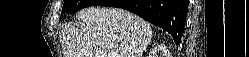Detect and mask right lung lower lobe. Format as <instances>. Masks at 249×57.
Returning a JSON list of instances; mask_svg holds the SVG:
<instances>
[{"label":"right lung lower lobe","instance_id":"98d812e1","mask_svg":"<svg viewBox=\"0 0 249 57\" xmlns=\"http://www.w3.org/2000/svg\"><path fill=\"white\" fill-rule=\"evenodd\" d=\"M119 7L168 31L176 44L183 35L188 0H105L99 4Z\"/></svg>","mask_w":249,"mask_h":57}]
</instances>
